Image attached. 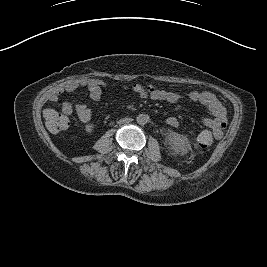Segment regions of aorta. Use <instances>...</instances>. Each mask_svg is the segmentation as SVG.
Here are the masks:
<instances>
[{"label":"aorta","instance_id":"aorta-1","mask_svg":"<svg viewBox=\"0 0 267 267\" xmlns=\"http://www.w3.org/2000/svg\"><path fill=\"white\" fill-rule=\"evenodd\" d=\"M136 121L140 125H144L148 122V116L145 114H140L137 116Z\"/></svg>","mask_w":267,"mask_h":267}]
</instances>
